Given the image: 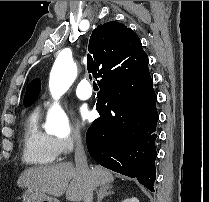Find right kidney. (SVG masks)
Wrapping results in <instances>:
<instances>
[{
	"label": "right kidney",
	"mask_w": 209,
	"mask_h": 202,
	"mask_svg": "<svg viewBox=\"0 0 209 202\" xmlns=\"http://www.w3.org/2000/svg\"><path fill=\"white\" fill-rule=\"evenodd\" d=\"M122 202H139V200L136 197L127 198Z\"/></svg>",
	"instance_id": "1"
}]
</instances>
